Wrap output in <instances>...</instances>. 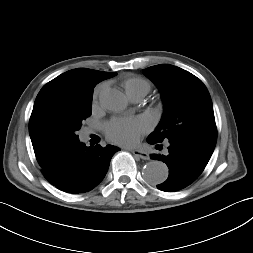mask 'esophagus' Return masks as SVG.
<instances>
[{
    "instance_id": "34e87169",
    "label": "esophagus",
    "mask_w": 253,
    "mask_h": 253,
    "mask_svg": "<svg viewBox=\"0 0 253 253\" xmlns=\"http://www.w3.org/2000/svg\"><path fill=\"white\" fill-rule=\"evenodd\" d=\"M132 153L135 156H137V157H139L143 160H148L149 159L148 153L146 151L142 150V149H134V150H132Z\"/></svg>"
}]
</instances>
